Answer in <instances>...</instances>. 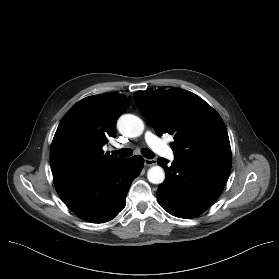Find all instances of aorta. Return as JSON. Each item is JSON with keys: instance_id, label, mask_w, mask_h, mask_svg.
Instances as JSON below:
<instances>
[{"instance_id": "762f6f07", "label": "aorta", "mask_w": 279, "mask_h": 279, "mask_svg": "<svg viewBox=\"0 0 279 279\" xmlns=\"http://www.w3.org/2000/svg\"><path fill=\"white\" fill-rule=\"evenodd\" d=\"M118 130L127 137H138L144 130L143 121L132 114L122 115L117 122ZM147 179L152 184H161L165 180V172L160 166H153L147 172Z\"/></svg>"}]
</instances>
